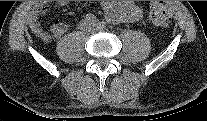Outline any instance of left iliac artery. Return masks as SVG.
<instances>
[{
  "label": "left iliac artery",
  "mask_w": 207,
  "mask_h": 121,
  "mask_svg": "<svg viewBox=\"0 0 207 121\" xmlns=\"http://www.w3.org/2000/svg\"><path fill=\"white\" fill-rule=\"evenodd\" d=\"M99 26L101 29H104L106 27V23L101 21V22H99Z\"/></svg>",
  "instance_id": "left-iliac-artery-1"
}]
</instances>
